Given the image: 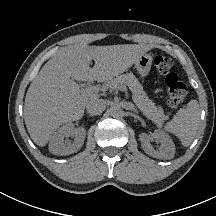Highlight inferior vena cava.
Returning a JSON list of instances; mask_svg holds the SVG:
<instances>
[{"label": "inferior vena cava", "instance_id": "1", "mask_svg": "<svg viewBox=\"0 0 216 216\" xmlns=\"http://www.w3.org/2000/svg\"><path fill=\"white\" fill-rule=\"evenodd\" d=\"M86 110L90 116L99 115L105 110V104L100 99H91L86 104Z\"/></svg>", "mask_w": 216, "mask_h": 216}]
</instances>
